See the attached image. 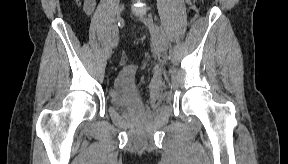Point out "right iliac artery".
I'll use <instances>...</instances> for the list:
<instances>
[{
    "label": "right iliac artery",
    "mask_w": 288,
    "mask_h": 164,
    "mask_svg": "<svg viewBox=\"0 0 288 164\" xmlns=\"http://www.w3.org/2000/svg\"><path fill=\"white\" fill-rule=\"evenodd\" d=\"M112 46L116 47L118 44V34L116 32H113V37H112Z\"/></svg>",
    "instance_id": "right-iliac-artery-1"
}]
</instances>
